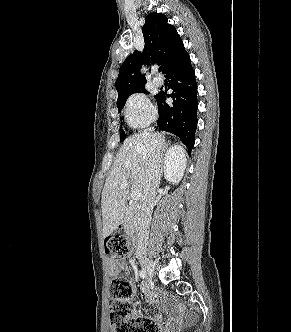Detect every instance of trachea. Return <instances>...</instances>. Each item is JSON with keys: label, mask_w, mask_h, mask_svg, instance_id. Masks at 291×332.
Instances as JSON below:
<instances>
[{"label": "trachea", "mask_w": 291, "mask_h": 332, "mask_svg": "<svg viewBox=\"0 0 291 332\" xmlns=\"http://www.w3.org/2000/svg\"><path fill=\"white\" fill-rule=\"evenodd\" d=\"M161 69H162V68L160 67V68H159V71H161Z\"/></svg>", "instance_id": "1"}]
</instances>
